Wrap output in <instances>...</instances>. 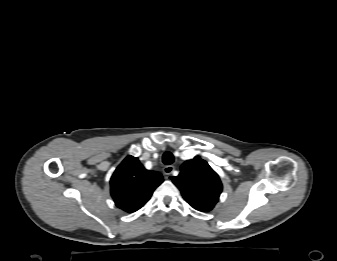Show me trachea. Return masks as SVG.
<instances>
[{
    "instance_id": "obj_1",
    "label": "trachea",
    "mask_w": 337,
    "mask_h": 261,
    "mask_svg": "<svg viewBox=\"0 0 337 261\" xmlns=\"http://www.w3.org/2000/svg\"><path fill=\"white\" fill-rule=\"evenodd\" d=\"M162 161L166 165H170L174 162V156L171 152H165L162 157Z\"/></svg>"
}]
</instances>
